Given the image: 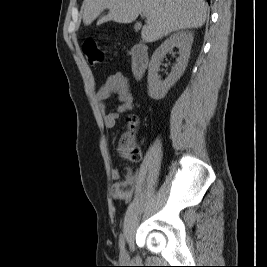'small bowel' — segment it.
Wrapping results in <instances>:
<instances>
[{
    "label": "small bowel",
    "instance_id": "obj_1",
    "mask_svg": "<svg viewBox=\"0 0 267 267\" xmlns=\"http://www.w3.org/2000/svg\"><path fill=\"white\" fill-rule=\"evenodd\" d=\"M112 95L117 96L120 104L116 111L106 112L105 102ZM96 98L100 104V109L103 112L104 125L108 129H112L116 126L120 113L128 112L134 107V96L131 92L130 83L121 73L109 76L98 90ZM111 175L114 180L112 185L113 198L129 201L133 195L132 186L136 181L135 174L129 168H126L124 174L117 169H114L112 170Z\"/></svg>",
    "mask_w": 267,
    "mask_h": 267
}]
</instances>
